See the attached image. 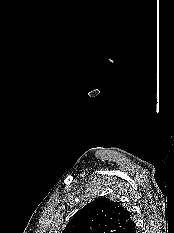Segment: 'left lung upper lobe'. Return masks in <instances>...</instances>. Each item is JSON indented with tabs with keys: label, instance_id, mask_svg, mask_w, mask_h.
I'll use <instances>...</instances> for the list:
<instances>
[{
	"label": "left lung upper lobe",
	"instance_id": "obj_1",
	"mask_svg": "<svg viewBox=\"0 0 174 233\" xmlns=\"http://www.w3.org/2000/svg\"><path fill=\"white\" fill-rule=\"evenodd\" d=\"M132 223L128 210L101 197L80 209L62 233H122Z\"/></svg>",
	"mask_w": 174,
	"mask_h": 233
}]
</instances>
